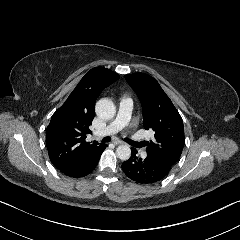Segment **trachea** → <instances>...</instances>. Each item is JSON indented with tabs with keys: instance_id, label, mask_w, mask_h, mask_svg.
Returning <instances> with one entry per match:
<instances>
[{
	"instance_id": "3493384b",
	"label": "trachea",
	"mask_w": 240,
	"mask_h": 240,
	"mask_svg": "<svg viewBox=\"0 0 240 240\" xmlns=\"http://www.w3.org/2000/svg\"><path fill=\"white\" fill-rule=\"evenodd\" d=\"M111 141V137L110 136H106V137H104L103 139H102V142L103 143H108V142H110Z\"/></svg>"
}]
</instances>
